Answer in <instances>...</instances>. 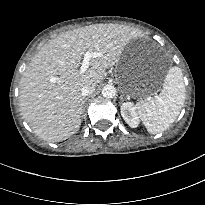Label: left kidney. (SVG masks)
<instances>
[{"instance_id": "obj_1", "label": "left kidney", "mask_w": 205, "mask_h": 205, "mask_svg": "<svg viewBox=\"0 0 205 205\" xmlns=\"http://www.w3.org/2000/svg\"><path fill=\"white\" fill-rule=\"evenodd\" d=\"M121 115L125 122L132 128H136L139 125V116L136 111V107L131 102H125L121 105Z\"/></svg>"}]
</instances>
